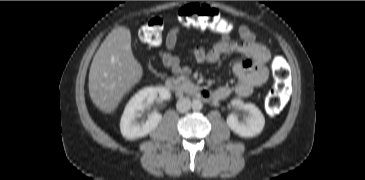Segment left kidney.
Wrapping results in <instances>:
<instances>
[{"instance_id":"5707ae66","label":"left kidney","mask_w":365,"mask_h":180,"mask_svg":"<svg viewBox=\"0 0 365 180\" xmlns=\"http://www.w3.org/2000/svg\"><path fill=\"white\" fill-rule=\"evenodd\" d=\"M233 106L248 112V116L241 122L237 115L230 114L227 117V125L230 129L241 137H254L260 134L264 128L265 119L261 111L251 103H244L240 99L232 101Z\"/></svg>"}]
</instances>
